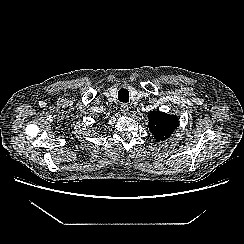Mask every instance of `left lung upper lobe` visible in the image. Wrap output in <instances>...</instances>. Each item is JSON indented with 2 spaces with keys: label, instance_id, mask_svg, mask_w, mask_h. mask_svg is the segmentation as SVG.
<instances>
[{
  "label": "left lung upper lobe",
  "instance_id": "1",
  "mask_svg": "<svg viewBox=\"0 0 244 244\" xmlns=\"http://www.w3.org/2000/svg\"><path fill=\"white\" fill-rule=\"evenodd\" d=\"M179 126V120L174 115H169L159 110L149 114V128L156 141H163Z\"/></svg>",
  "mask_w": 244,
  "mask_h": 244
}]
</instances>
